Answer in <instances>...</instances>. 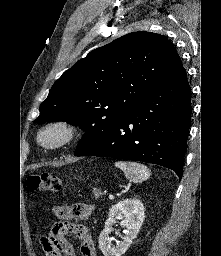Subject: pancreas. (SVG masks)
I'll use <instances>...</instances> for the list:
<instances>
[{"label":"pancreas","instance_id":"obj_1","mask_svg":"<svg viewBox=\"0 0 221 256\" xmlns=\"http://www.w3.org/2000/svg\"><path fill=\"white\" fill-rule=\"evenodd\" d=\"M93 194H94L95 198H99V196L102 195V193L98 189H94Z\"/></svg>","mask_w":221,"mask_h":256}]
</instances>
